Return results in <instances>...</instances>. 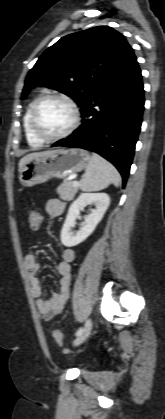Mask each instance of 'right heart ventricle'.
<instances>
[{"mask_svg": "<svg viewBox=\"0 0 165 419\" xmlns=\"http://www.w3.org/2000/svg\"><path fill=\"white\" fill-rule=\"evenodd\" d=\"M37 100V98L32 99L23 116V128H24V134L27 140V143L32 146V147H40L43 142L41 140H39L32 132L31 127H30V112H31V108L33 106V104L35 103V101Z\"/></svg>", "mask_w": 165, "mask_h": 419, "instance_id": "right-heart-ventricle-1", "label": "right heart ventricle"}]
</instances>
